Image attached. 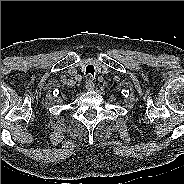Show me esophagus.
<instances>
[{
	"label": "esophagus",
	"instance_id": "esophagus-1",
	"mask_svg": "<svg viewBox=\"0 0 184 184\" xmlns=\"http://www.w3.org/2000/svg\"><path fill=\"white\" fill-rule=\"evenodd\" d=\"M86 88H87L88 90H92V89H93V83H92L91 80L88 81V83H87V85H86Z\"/></svg>",
	"mask_w": 184,
	"mask_h": 184
}]
</instances>
